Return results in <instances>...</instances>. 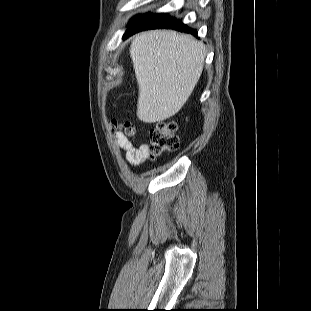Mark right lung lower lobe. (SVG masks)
<instances>
[{"label": "right lung lower lobe", "instance_id": "obj_1", "mask_svg": "<svg viewBox=\"0 0 311 311\" xmlns=\"http://www.w3.org/2000/svg\"><path fill=\"white\" fill-rule=\"evenodd\" d=\"M175 29L181 32L190 33L197 36V31L189 28L181 21L176 20L166 14H144L138 16L129 26L124 34V39L140 31L150 29Z\"/></svg>", "mask_w": 311, "mask_h": 311}]
</instances>
